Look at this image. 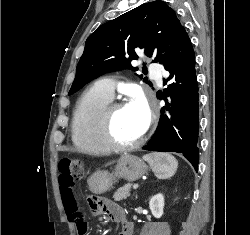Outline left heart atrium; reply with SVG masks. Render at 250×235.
Here are the masks:
<instances>
[{
	"instance_id": "39dd6f15",
	"label": "left heart atrium",
	"mask_w": 250,
	"mask_h": 235,
	"mask_svg": "<svg viewBox=\"0 0 250 235\" xmlns=\"http://www.w3.org/2000/svg\"><path fill=\"white\" fill-rule=\"evenodd\" d=\"M128 106L139 119L141 130L144 132L150 121V111L146 100L141 95H135Z\"/></svg>"
}]
</instances>
